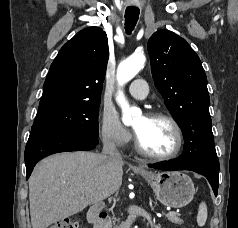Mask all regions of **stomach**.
I'll use <instances>...</instances> for the list:
<instances>
[{"mask_svg": "<svg viewBox=\"0 0 238 228\" xmlns=\"http://www.w3.org/2000/svg\"><path fill=\"white\" fill-rule=\"evenodd\" d=\"M152 187L157 199L165 206L181 208L194 198L195 189L191 178L181 172H145L138 171Z\"/></svg>", "mask_w": 238, "mask_h": 228, "instance_id": "obj_1", "label": "stomach"}]
</instances>
